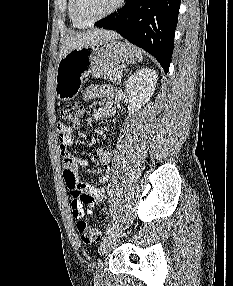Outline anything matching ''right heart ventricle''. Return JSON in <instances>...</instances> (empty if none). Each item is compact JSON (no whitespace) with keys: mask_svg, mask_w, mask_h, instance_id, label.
<instances>
[{"mask_svg":"<svg viewBox=\"0 0 233 286\" xmlns=\"http://www.w3.org/2000/svg\"><path fill=\"white\" fill-rule=\"evenodd\" d=\"M67 10H68V16L69 19L72 23V25L76 28H85L86 25L80 22L77 17L75 16L74 12V0H68V5H67Z\"/></svg>","mask_w":233,"mask_h":286,"instance_id":"1","label":"right heart ventricle"}]
</instances>
